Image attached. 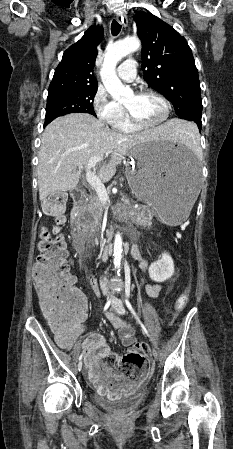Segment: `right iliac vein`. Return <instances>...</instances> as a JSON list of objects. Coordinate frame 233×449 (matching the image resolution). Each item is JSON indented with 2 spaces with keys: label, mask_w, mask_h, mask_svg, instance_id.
<instances>
[{
  "label": "right iliac vein",
  "mask_w": 233,
  "mask_h": 449,
  "mask_svg": "<svg viewBox=\"0 0 233 449\" xmlns=\"http://www.w3.org/2000/svg\"><path fill=\"white\" fill-rule=\"evenodd\" d=\"M82 370V362H79V364H78V371H81Z\"/></svg>",
  "instance_id": "63e3f726"
}]
</instances>
